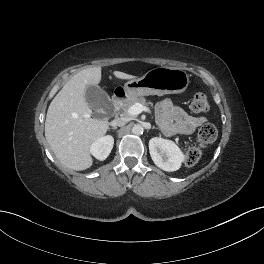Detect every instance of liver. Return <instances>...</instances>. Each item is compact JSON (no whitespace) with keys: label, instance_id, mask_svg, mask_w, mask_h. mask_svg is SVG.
Segmentation results:
<instances>
[{"label":"liver","instance_id":"obj_1","mask_svg":"<svg viewBox=\"0 0 264 264\" xmlns=\"http://www.w3.org/2000/svg\"><path fill=\"white\" fill-rule=\"evenodd\" d=\"M118 79L135 76L114 71ZM101 81V67H91L75 74L51 101L45 121V137L60 163L81 171L93 164L90 147L109 129L105 119L92 118L85 99L86 88Z\"/></svg>","mask_w":264,"mask_h":264}]
</instances>
